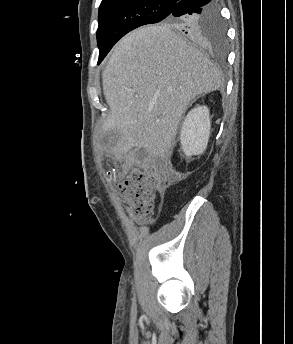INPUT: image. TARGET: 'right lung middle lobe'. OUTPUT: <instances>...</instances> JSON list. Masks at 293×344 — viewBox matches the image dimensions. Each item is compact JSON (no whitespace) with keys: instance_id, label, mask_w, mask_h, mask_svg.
Segmentation results:
<instances>
[{"instance_id":"1","label":"right lung middle lobe","mask_w":293,"mask_h":344,"mask_svg":"<svg viewBox=\"0 0 293 344\" xmlns=\"http://www.w3.org/2000/svg\"><path fill=\"white\" fill-rule=\"evenodd\" d=\"M174 2L165 0H118L101 2L98 15L97 43L99 47L98 64L104 59L113 45L131 30L146 24L165 23L183 30L187 25H196L200 34L195 41L224 49L226 34L219 15L218 6L210 12H202L186 17H172Z\"/></svg>"}]
</instances>
